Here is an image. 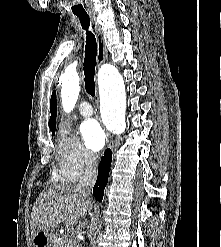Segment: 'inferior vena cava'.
I'll return each mask as SVG.
<instances>
[{"label":"inferior vena cava","instance_id":"602c4592","mask_svg":"<svg viewBox=\"0 0 221 247\" xmlns=\"http://www.w3.org/2000/svg\"><path fill=\"white\" fill-rule=\"evenodd\" d=\"M85 163V172L77 185V191L83 197L89 198L91 194V189L95 184L97 178L96 155L91 152L87 153Z\"/></svg>","mask_w":221,"mask_h":247}]
</instances>
